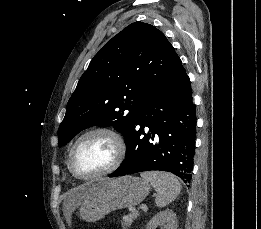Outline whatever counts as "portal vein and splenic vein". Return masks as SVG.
Masks as SVG:
<instances>
[{
    "label": "portal vein and splenic vein",
    "mask_w": 261,
    "mask_h": 229,
    "mask_svg": "<svg viewBox=\"0 0 261 229\" xmlns=\"http://www.w3.org/2000/svg\"><path fill=\"white\" fill-rule=\"evenodd\" d=\"M141 207H142L144 213H147V212H148V206H147L145 203H142V204H141ZM138 212H140V209H137V210H136V209H133V210H132V213H133V214H136V213H138ZM123 219H128V217H123Z\"/></svg>",
    "instance_id": "18ae733b"
}]
</instances>
